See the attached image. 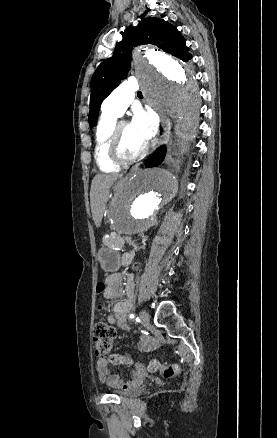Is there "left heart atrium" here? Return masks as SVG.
<instances>
[{
	"mask_svg": "<svg viewBox=\"0 0 277 438\" xmlns=\"http://www.w3.org/2000/svg\"><path fill=\"white\" fill-rule=\"evenodd\" d=\"M131 125L143 147H145L148 140L155 132V123L151 115L148 112L137 109L134 111Z\"/></svg>",
	"mask_w": 277,
	"mask_h": 438,
	"instance_id": "obj_1",
	"label": "left heart atrium"
}]
</instances>
